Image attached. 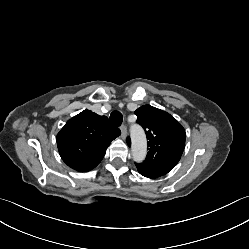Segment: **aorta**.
<instances>
[{
  "label": "aorta",
  "instance_id": "762f6f07",
  "mask_svg": "<svg viewBox=\"0 0 249 249\" xmlns=\"http://www.w3.org/2000/svg\"><path fill=\"white\" fill-rule=\"evenodd\" d=\"M131 134V152L136 162H142L147 153V140L143 129L139 125H133L130 129Z\"/></svg>",
  "mask_w": 249,
  "mask_h": 249
}]
</instances>
